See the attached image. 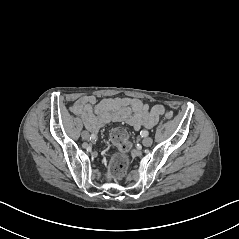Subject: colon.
Here are the masks:
<instances>
[{
    "instance_id": "5ec220e1",
    "label": "colon",
    "mask_w": 239,
    "mask_h": 239,
    "mask_svg": "<svg viewBox=\"0 0 239 239\" xmlns=\"http://www.w3.org/2000/svg\"><path fill=\"white\" fill-rule=\"evenodd\" d=\"M165 118L170 120L173 118V113L167 111ZM110 139L115 144L119 152L113 156L109 166V174L111 177L117 178L122 176L128 168L129 159L128 152L131 148L128 133L124 128L114 127L110 131Z\"/></svg>"
}]
</instances>
